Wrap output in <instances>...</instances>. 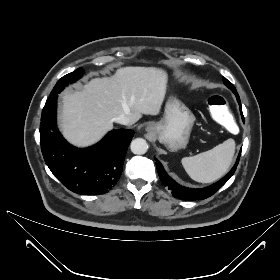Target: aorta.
Masks as SVG:
<instances>
[{
    "instance_id": "aorta-1",
    "label": "aorta",
    "mask_w": 280,
    "mask_h": 280,
    "mask_svg": "<svg viewBox=\"0 0 280 280\" xmlns=\"http://www.w3.org/2000/svg\"><path fill=\"white\" fill-rule=\"evenodd\" d=\"M130 149L132 153L136 155L145 154L148 150V144L143 138H136L130 144Z\"/></svg>"
}]
</instances>
